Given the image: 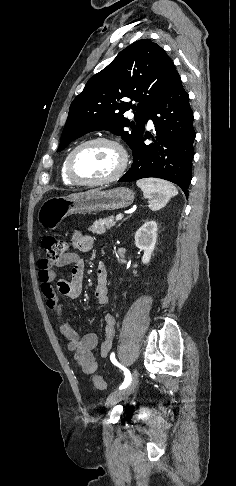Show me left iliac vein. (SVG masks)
<instances>
[{"mask_svg": "<svg viewBox=\"0 0 236 486\" xmlns=\"http://www.w3.org/2000/svg\"><path fill=\"white\" fill-rule=\"evenodd\" d=\"M138 382H139V374H138V371L136 369H134L130 384L126 388L110 394L108 396V398L106 399V402H105L106 406L115 405L118 402H120L121 400L128 397L135 390V388L138 385Z\"/></svg>", "mask_w": 236, "mask_h": 486, "instance_id": "4c4485c4", "label": "left iliac vein"}]
</instances>
